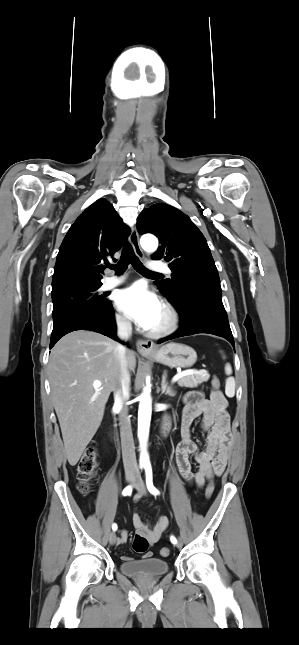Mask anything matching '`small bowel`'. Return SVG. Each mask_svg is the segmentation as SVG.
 I'll return each mask as SVG.
<instances>
[{
    "label": "small bowel",
    "instance_id": "small-bowel-1",
    "mask_svg": "<svg viewBox=\"0 0 299 645\" xmlns=\"http://www.w3.org/2000/svg\"><path fill=\"white\" fill-rule=\"evenodd\" d=\"M227 408V399L219 391L212 392L209 398H205L199 391L188 392L184 397L181 441L176 447L175 461L182 478L198 488L214 476L221 475L227 465L232 444ZM199 417L205 434L203 448L192 437L193 423ZM192 462L197 466L196 471L192 470ZM139 501L140 495H136L134 502ZM132 519L136 535L145 537L149 545L155 544L169 526V519L165 515L159 516L153 526L145 522L137 512L133 514ZM127 539L128 532L122 530L118 544L126 543ZM151 555V552H146L144 558ZM121 559L131 560L125 555L121 556Z\"/></svg>",
    "mask_w": 299,
    "mask_h": 645
}]
</instances>
